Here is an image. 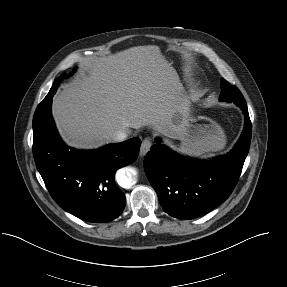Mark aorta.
<instances>
[{
    "label": "aorta",
    "instance_id": "aorta-1",
    "mask_svg": "<svg viewBox=\"0 0 287 287\" xmlns=\"http://www.w3.org/2000/svg\"><path fill=\"white\" fill-rule=\"evenodd\" d=\"M117 179L122 187L130 188L135 183L134 171L120 172Z\"/></svg>",
    "mask_w": 287,
    "mask_h": 287
}]
</instances>
